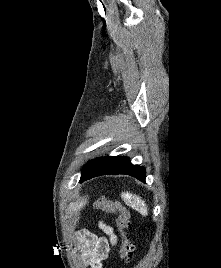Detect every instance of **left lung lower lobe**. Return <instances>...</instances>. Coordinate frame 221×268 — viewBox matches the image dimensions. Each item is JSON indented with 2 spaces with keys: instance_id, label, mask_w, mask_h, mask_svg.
Masks as SVG:
<instances>
[{
  "instance_id": "obj_1",
  "label": "left lung lower lobe",
  "mask_w": 221,
  "mask_h": 268,
  "mask_svg": "<svg viewBox=\"0 0 221 268\" xmlns=\"http://www.w3.org/2000/svg\"><path fill=\"white\" fill-rule=\"evenodd\" d=\"M105 174H126L145 182V169L130 163L127 157H105L89 162L82 170L80 182Z\"/></svg>"
}]
</instances>
